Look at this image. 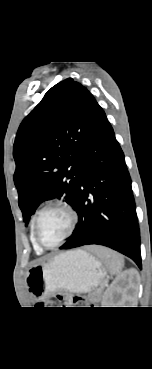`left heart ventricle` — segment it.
Wrapping results in <instances>:
<instances>
[{
    "label": "left heart ventricle",
    "instance_id": "left-heart-ventricle-1",
    "mask_svg": "<svg viewBox=\"0 0 152 369\" xmlns=\"http://www.w3.org/2000/svg\"><path fill=\"white\" fill-rule=\"evenodd\" d=\"M68 227L67 212L59 207L49 208L40 217L39 238L45 245H52L65 235Z\"/></svg>",
    "mask_w": 152,
    "mask_h": 369
}]
</instances>
